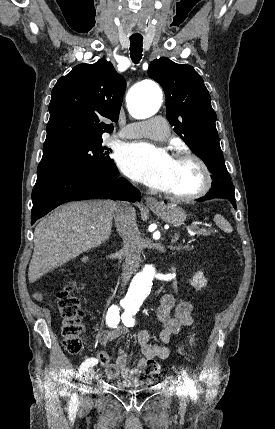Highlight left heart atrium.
<instances>
[{
    "instance_id": "obj_1",
    "label": "left heart atrium",
    "mask_w": 275,
    "mask_h": 429,
    "mask_svg": "<svg viewBox=\"0 0 275 429\" xmlns=\"http://www.w3.org/2000/svg\"><path fill=\"white\" fill-rule=\"evenodd\" d=\"M174 159L162 148L148 143L124 146L118 154V164L129 177L152 188L165 190Z\"/></svg>"
}]
</instances>
